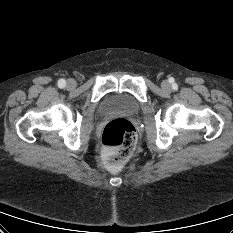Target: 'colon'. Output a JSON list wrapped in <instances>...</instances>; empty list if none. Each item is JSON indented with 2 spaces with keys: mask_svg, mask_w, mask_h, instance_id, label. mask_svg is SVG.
<instances>
[{
  "mask_svg": "<svg viewBox=\"0 0 233 233\" xmlns=\"http://www.w3.org/2000/svg\"><path fill=\"white\" fill-rule=\"evenodd\" d=\"M101 142L107 150L106 164L116 168L132 155L136 147L135 127L127 119H114L103 129Z\"/></svg>",
  "mask_w": 233,
  "mask_h": 233,
  "instance_id": "colon-1",
  "label": "colon"
}]
</instances>
